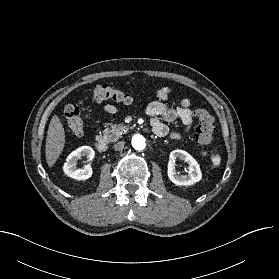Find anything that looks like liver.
Returning a JSON list of instances; mask_svg holds the SVG:
<instances>
[{
	"instance_id": "liver-1",
	"label": "liver",
	"mask_w": 279,
	"mask_h": 279,
	"mask_svg": "<svg viewBox=\"0 0 279 279\" xmlns=\"http://www.w3.org/2000/svg\"><path fill=\"white\" fill-rule=\"evenodd\" d=\"M64 146L65 131L58 116L54 115L48 127L45 145L46 162L49 167L56 163Z\"/></svg>"
}]
</instances>
